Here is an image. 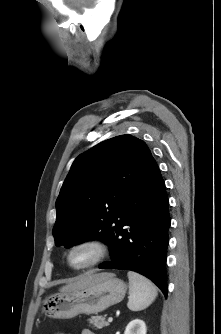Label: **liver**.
I'll list each match as a JSON object with an SVG mask.
<instances>
[{"label":"liver","instance_id":"liver-1","mask_svg":"<svg viewBox=\"0 0 221 334\" xmlns=\"http://www.w3.org/2000/svg\"><path fill=\"white\" fill-rule=\"evenodd\" d=\"M100 279V276L94 271H90L80 276L77 280L60 288L62 292L75 291L83 289Z\"/></svg>","mask_w":221,"mask_h":334}]
</instances>
